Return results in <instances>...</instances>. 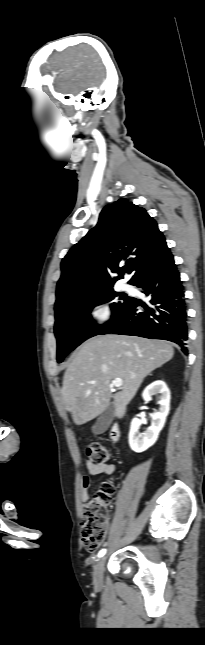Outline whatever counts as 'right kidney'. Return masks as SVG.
<instances>
[{
  "label": "right kidney",
  "mask_w": 205,
  "mask_h": 645,
  "mask_svg": "<svg viewBox=\"0 0 205 645\" xmlns=\"http://www.w3.org/2000/svg\"><path fill=\"white\" fill-rule=\"evenodd\" d=\"M155 394H160L158 402L160 407L151 416V426L145 432L140 433L141 420L133 418L131 422L129 445L134 452L140 453L151 447L157 441L159 433L164 427L170 410V391L164 381L157 380L148 385L142 393V398L147 403Z\"/></svg>",
  "instance_id": "right-kidney-1"
}]
</instances>
